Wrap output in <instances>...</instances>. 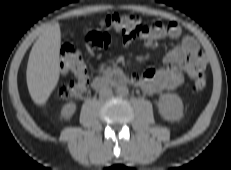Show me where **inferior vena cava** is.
<instances>
[{
	"instance_id": "1",
	"label": "inferior vena cava",
	"mask_w": 231,
	"mask_h": 170,
	"mask_svg": "<svg viewBox=\"0 0 231 170\" xmlns=\"http://www.w3.org/2000/svg\"><path fill=\"white\" fill-rule=\"evenodd\" d=\"M99 95L100 97H110L112 95V89L111 87L109 86H103L100 88V91H99Z\"/></svg>"
}]
</instances>
